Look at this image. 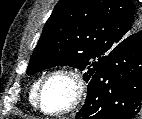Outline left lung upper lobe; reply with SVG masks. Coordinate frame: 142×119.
<instances>
[{
	"instance_id": "5c2ea615",
	"label": "left lung upper lobe",
	"mask_w": 142,
	"mask_h": 119,
	"mask_svg": "<svg viewBox=\"0 0 142 119\" xmlns=\"http://www.w3.org/2000/svg\"><path fill=\"white\" fill-rule=\"evenodd\" d=\"M142 23L132 0H60L30 58L27 74L72 66L89 82L108 53Z\"/></svg>"
}]
</instances>
